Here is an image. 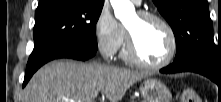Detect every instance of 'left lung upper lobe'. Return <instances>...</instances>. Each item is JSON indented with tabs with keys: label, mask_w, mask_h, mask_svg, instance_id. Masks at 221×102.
<instances>
[{
	"label": "left lung upper lobe",
	"mask_w": 221,
	"mask_h": 102,
	"mask_svg": "<svg viewBox=\"0 0 221 102\" xmlns=\"http://www.w3.org/2000/svg\"><path fill=\"white\" fill-rule=\"evenodd\" d=\"M176 38L174 61L202 58L221 70V50L213 41V25L207 0H153Z\"/></svg>",
	"instance_id": "5c2ea615"
}]
</instances>
